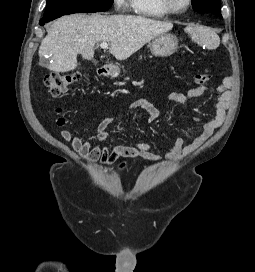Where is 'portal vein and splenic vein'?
I'll return each instance as SVG.
<instances>
[{
	"mask_svg": "<svg viewBox=\"0 0 255 272\" xmlns=\"http://www.w3.org/2000/svg\"><path fill=\"white\" fill-rule=\"evenodd\" d=\"M108 46H109V44H108L107 42H102V43L100 44V47H101L102 49H107Z\"/></svg>",
	"mask_w": 255,
	"mask_h": 272,
	"instance_id": "obj_1",
	"label": "portal vein and splenic vein"
}]
</instances>
